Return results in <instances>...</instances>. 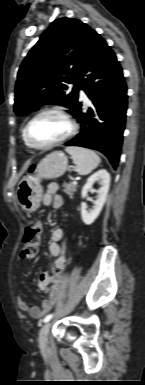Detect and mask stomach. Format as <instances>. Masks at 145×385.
Returning <instances> with one entry per match:
<instances>
[{
    "label": "stomach",
    "mask_w": 145,
    "mask_h": 385,
    "mask_svg": "<svg viewBox=\"0 0 145 385\" xmlns=\"http://www.w3.org/2000/svg\"><path fill=\"white\" fill-rule=\"evenodd\" d=\"M68 169V158L61 151H54L43 158L32 174L22 178L17 186L16 199L25 211H35L43 197L42 179H55Z\"/></svg>",
    "instance_id": "1"
}]
</instances>
